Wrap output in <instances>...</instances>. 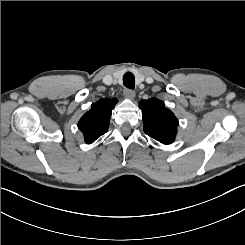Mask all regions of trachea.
I'll use <instances>...</instances> for the list:
<instances>
[{
  "mask_svg": "<svg viewBox=\"0 0 245 245\" xmlns=\"http://www.w3.org/2000/svg\"><path fill=\"white\" fill-rule=\"evenodd\" d=\"M134 80V75L131 72H127L123 76V84L130 90H133L135 87Z\"/></svg>",
  "mask_w": 245,
  "mask_h": 245,
  "instance_id": "obj_1",
  "label": "trachea"
}]
</instances>
